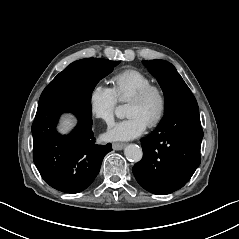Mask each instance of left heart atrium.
Returning <instances> with one entry per match:
<instances>
[{
    "label": "left heart atrium",
    "mask_w": 239,
    "mask_h": 239,
    "mask_svg": "<svg viewBox=\"0 0 239 239\" xmlns=\"http://www.w3.org/2000/svg\"><path fill=\"white\" fill-rule=\"evenodd\" d=\"M148 127L146 121L137 114L113 124L106 134L110 140H129L141 135Z\"/></svg>",
    "instance_id": "1"
}]
</instances>
